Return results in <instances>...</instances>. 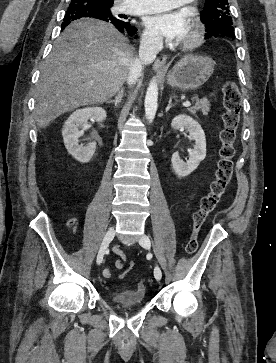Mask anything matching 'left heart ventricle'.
<instances>
[{
    "instance_id": "left-heart-ventricle-1",
    "label": "left heart ventricle",
    "mask_w": 276,
    "mask_h": 363,
    "mask_svg": "<svg viewBox=\"0 0 276 363\" xmlns=\"http://www.w3.org/2000/svg\"><path fill=\"white\" fill-rule=\"evenodd\" d=\"M190 35H191V26H189V30H188V32H187V34L185 35V37H184V39H183V40L187 39Z\"/></svg>"
}]
</instances>
